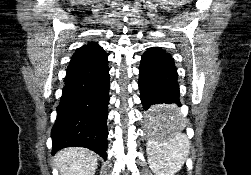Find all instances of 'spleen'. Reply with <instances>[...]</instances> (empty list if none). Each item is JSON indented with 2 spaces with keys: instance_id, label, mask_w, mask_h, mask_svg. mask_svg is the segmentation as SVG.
Wrapping results in <instances>:
<instances>
[{
  "instance_id": "spleen-1",
  "label": "spleen",
  "mask_w": 251,
  "mask_h": 175,
  "mask_svg": "<svg viewBox=\"0 0 251 175\" xmlns=\"http://www.w3.org/2000/svg\"><path fill=\"white\" fill-rule=\"evenodd\" d=\"M147 121L148 137L153 139L147 147L148 163L155 175H174L190 153L189 139L181 133L179 113L157 107L148 113Z\"/></svg>"
}]
</instances>
